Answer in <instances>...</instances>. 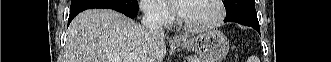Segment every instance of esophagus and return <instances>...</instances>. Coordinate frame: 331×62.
<instances>
[{
	"label": "esophagus",
	"instance_id": "34e87169",
	"mask_svg": "<svg viewBox=\"0 0 331 62\" xmlns=\"http://www.w3.org/2000/svg\"><path fill=\"white\" fill-rule=\"evenodd\" d=\"M182 39L183 38L181 36H179V35H174L173 36V40L176 41V42L181 41Z\"/></svg>",
	"mask_w": 331,
	"mask_h": 62
}]
</instances>
